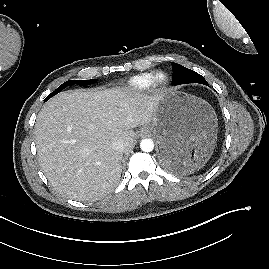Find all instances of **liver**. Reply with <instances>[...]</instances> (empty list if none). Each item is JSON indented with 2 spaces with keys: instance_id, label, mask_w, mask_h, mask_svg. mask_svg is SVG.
Returning a JSON list of instances; mask_svg holds the SVG:
<instances>
[{
  "instance_id": "6515ba94",
  "label": "liver",
  "mask_w": 269,
  "mask_h": 269,
  "mask_svg": "<svg viewBox=\"0 0 269 269\" xmlns=\"http://www.w3.org/2000/svg\"><path fill=\"white\" fill-rule=\"evenodd\" d=\"M156 96L129 88L74 90L51 98L38 113L35 143L52 187L78 201H96L121 177L123 152L135 144V127L150 123ZM122 140L123 151L112 148Z\"/></svg>"
}]
</instances>
